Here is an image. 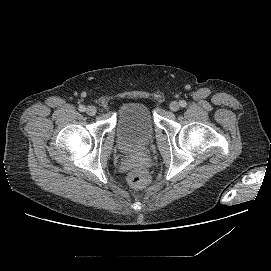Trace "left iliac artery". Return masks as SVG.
Instances as JSON below:
<instances>
[{"mask_svg": "<svg viewBox=\"0 0 271 271\" xmlns=\"http://www.w3.org/2000/svg\"><path fill=\"white\" fill-rule=\"evenodd\" d=\"M179 104H180L181 107H186V105H187V103H186L185 100H181V101L179 102Z\"/></svg>", "mask_w": 271, "mask_h": 271, "instance_id": "left-iliac-artery-1", "label": "left iliac artery"}]
</instances>
